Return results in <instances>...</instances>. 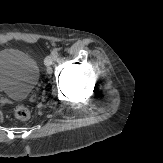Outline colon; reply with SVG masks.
<instances>
[{"mask_svg":"<svg viewBox=\"0 0 163 163\" xmlns=\"http://www.w3.org/2000/svg\"><path fill=\"white\" fill-rule=\"evenodd\" d=\"M14 115L19 120H26L30 117V110L25 106H18L14 111Z\"/></svg>","mask_w":163,"mask_h":163,"instance_id":"1","label":"colon"}]
</instances>
